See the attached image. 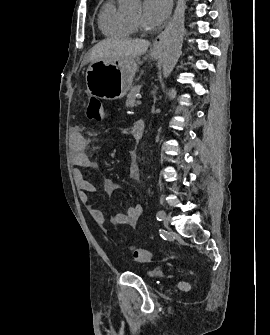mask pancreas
I'll use <instances>...</instances> for the list:
<instances>
[{
	"instance_id": "cf45deb5",
	"label": "pancreas",
	"mask_w": 270,
	"mask_h": 335,
	"mask_svg": "<svg viewBox=\"0 0 270 335\" xmlns=\"http://www.w3.org/2000/svg\"><path fill=\"white\" fill-rule=\"evenodd\" d=\"M140 90L141 86H133V88H131L126 100L127 108H133L136 102V94H139Z\"/></svg>"
}]
</instances>
